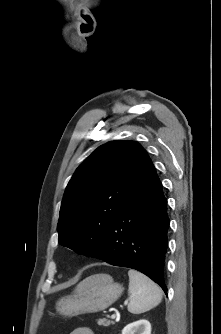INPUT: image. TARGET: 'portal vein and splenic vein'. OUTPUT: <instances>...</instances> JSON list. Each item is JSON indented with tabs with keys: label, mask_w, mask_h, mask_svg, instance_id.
Returning a JSON list of instances; mask_svg holds the SVG:
<instances>
[{
	"label": "portal vein and splenic vein",
	"mask_w": 221,
	"mask_h": 334,
	"mask_svg": "<svg viewBox=\"0 0 221 334\" xmlns=\"http://www.w3.org/2000/svg\"><path fill=\"white\" fill-rule=\"evenodd\" d=\"M116 318V315L115 314H112L111 315V319H115Z\"/></svg>",
	"instance_id": "1"
}]
</instances>
